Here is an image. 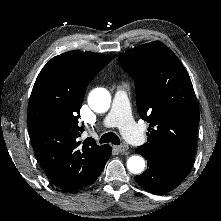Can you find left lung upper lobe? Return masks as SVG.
Wrapping results in <instances>:
<instances>
[{
    "mask_svg": "<svg viewBox=\"0 0 221 221\" xmlns=\"http://www.w3.org/2000/svg\"><path fill=\"white\" fill-rule=\"evenodd\" d=\"M135 80L137 109L149 123L148 156L192 162L199 124V107L190 77L177 56L163 43L143 44L118 57Z\"/></svg>",
    "mask_w": 221,
    "mask_h": 221,
    "instance_id": "5c2ea615",
    "label": "left lung upper lobe"
}]
</instances>
